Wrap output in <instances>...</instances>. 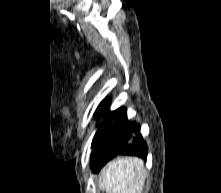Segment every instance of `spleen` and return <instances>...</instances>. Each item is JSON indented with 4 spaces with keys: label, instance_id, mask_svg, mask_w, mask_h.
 <instances>
[{
    "label": "spleen",
    "instance_id": "obj_1",
    "mask_svg": "<svg viewBox=\"0 0 221 193\" xmlns=\"http://www.w3.org/2000/svg\"><path fill=\"white\" fill-rule=\"evenodd\" d=\"M144 178L143 161L136 157H123L103 169L99 187L107 193H142Z\"/></svg>",
    "mask_w": 221,
    "mask_h": 193
}]
</instances>
